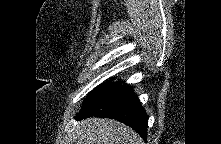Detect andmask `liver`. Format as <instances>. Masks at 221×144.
<instances>
[{"instance_id": "obj_1", "label": "liver", "mask_w": 221, "mask_h": 144, "mask_svg": "<svg viewBox=\"0 0 221 144\" xmlns=\"http://www.w3.org/2000/svg\"><path fill=\"white\" fill-rule=\"evenodd\" d=\"M77 144H143L131 128L106 118H87L75 127Z\"/></svg>"}]
</instances>
